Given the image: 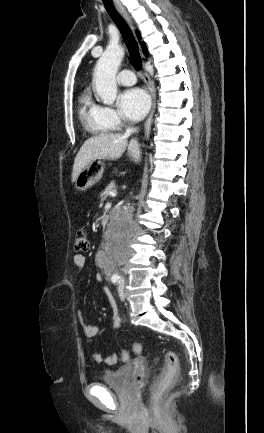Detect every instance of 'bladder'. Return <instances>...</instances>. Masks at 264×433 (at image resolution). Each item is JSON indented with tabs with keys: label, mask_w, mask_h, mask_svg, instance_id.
<instances>
[{
	"label": "bladder",
	"mask_w": 264,
	"mask_h": 433,
	"mask_svg": "<svg viewBox=\"0 0 264 433\" xmlns=\"http://www.w3.org/2000/svg\"><path fill=\"white\" fill-rule=\"evenodd\" d=\"M130 371L129 367L105 370L101 377V384L118 393H127L130 390Z\"/></svg>",
	"instance_id": "obj_1"
}]
</instances>
